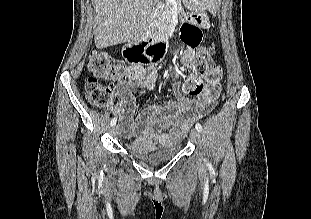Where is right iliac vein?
<instances>
[{"instance_id": "1", "label": "right iliac vein", "mask_w": 311, "mask_h": 219, "mask_svg": "<svg viewBox=\"0 0 311 219\" xmlns=\"http://www.w3.org/2000/svg\"><path fill=\"white\" fill-rule=\"evenodd\" d=\"M112 135L114 136V137H117L118 135H119V133H120V129H119V126L118 125H114L113 127H112Z\"/></svg>"}]
</instances>
